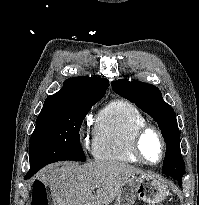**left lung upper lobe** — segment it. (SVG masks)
Segmentation results:
<instances>
[{"label":"left lung upper lobe","mask_w":199,"mask_h":205,"mask_svg":"<svg viewBox=\"0 0 199 205\" xmlns=\"http://www.w3.org/2000/svg\"><path fill=\"white\" fill-rule=\"evenodd\" d=\"M111 84L118 95L135 103L158 123L167 150L162 172L174 177L182 185L185 163L180 151V131L173 108L163 100L160 90L154 85L127 80L112 81Z\"/></svg>","instance_id":"left-lung-upper-lobe-1"}]
</instances>
